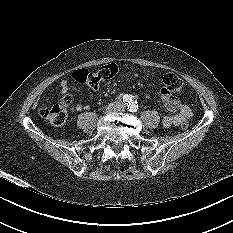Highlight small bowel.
Wrapping results in <instances>:
<instances>
[{"mask_svg": "<svg viewBox=\"0 0 233 233\" xmlns=\"http://www.w3.org/2000/svg\"><path fill=\"white\" fill-rule=\"evenodd\" d=\"M60 86L61 94L63 95H66L71 91H77V88H75L67 79L62 80ZM161 97L167 110L173 113L172 115L163 117L162 123L164 127L180 126L183 122H186L192 117L193 113L191 108L188 105L181 103L177 97L167 94L163 89L161 90ZM70 105L72 112L89 109L88 104L80 101L75 102L70 100Z\"/></svg>", "mask_w": 233, "mask_h": 233, "instance_id": "small-bowel-1", "label": "small bowel"}]
</instances>
